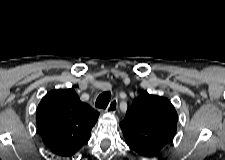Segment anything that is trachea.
<instances>
[{
  "instance_id": "obj_1",
  "label": "trachea",
  "mask_w": 225,
  "mask_h": 160,
  "mask_svg": "<svg viewBox=\"0 0 225 160\" xmlns=\"http://www.w3.org/2000/svg\"><path fill=\"white\" fill-rule=\"evenodd\" d=\"M111 98V93L109 91H105L101 93L95 102V106L97 108L106 109L107 105L109 104Z\"/></svg>"
}]
</instances>
